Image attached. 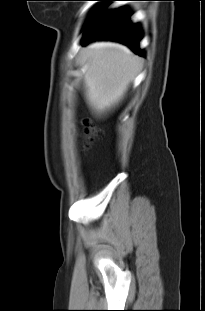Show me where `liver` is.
Instances as JSON below:
<instances>
[{
    "instance_id": "liver-1",
    "label": "liver",
    "mask_w": 205,
    "mask_h": 311,
    "mask_svg": "<svg viewBox=\"0 0 205 311\" xmlns=\"http://www.w3.org/2000/svg\"><path fill=\"white\" fill-rule=\"evenodd\" d=\"M88 105L98 113L111 109L124 97L140 70V58L116 43H96L82 51Z\"/></svg>"
}]
</instances>
